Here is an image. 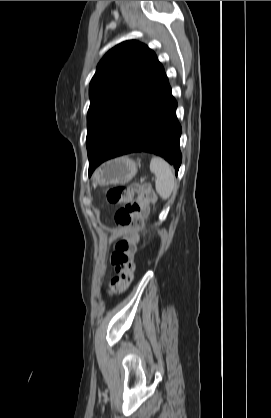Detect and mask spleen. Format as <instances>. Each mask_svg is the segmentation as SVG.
<instances>
[{"label": "spleen", "instance_id": "3e777b00", "mask_svg": "<svg viewBox=\"0 0 271 418\" xmlns=\"http://www.w3.org/2000/svg\"><path fill=\"white\" fill-rule=\"evenodd\" d=\"M150 170L156 176L155 188L157 193L162 199H169L175 189L173 169L162 158L154 157L150 162Z\"/></svg>", "mask_w": 271, "mask_h": 418}]
</instances>
